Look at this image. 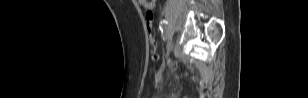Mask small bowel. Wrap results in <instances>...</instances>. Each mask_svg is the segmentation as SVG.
<instances>
[{"instance_id": "small-bowel-1", "label": "small bowel", "mask_w": 308, "mask_h": 98, "mask_svg": "<svg viewBox=\"0 0 308 98\" xmlns=\"http://www.w3.org/2000/svg\"><path fill=\"white\" fill-rule=\"evenodd\" d=\"M138 3L141 7H143L146 10H153L156 6V1L155 0H151V1H147V0H138Z\"/></svg>"}]
</instances>
